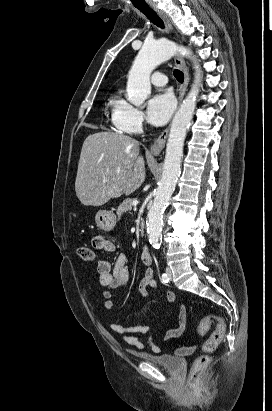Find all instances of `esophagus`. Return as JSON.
I'll return each instance as SVG.
<instances>
[{
  "mask_svg": "<svg viewBox=\"0 0 272 411\" xmlns=\"http://www.w3.org/2000/svg\"><path fill=\"white\" fill-rule=\"evenodd\" d=\"M152 9L161 17V19L164 21V23L167 26V28L169 29V31L173 33V27H172L171 22L168 19L167 15L155 5L152 6ZM175 64L182 70V72L184 74V82L182 83V85L180 87V91H179V105H180V103L182 102L183 97L186 93L188 84H189V72H188V68L185 64V61L181 56L175 57ZM169 130H170V126H168L160 134V136L158 137L156 142L150 148V153L151 154L159 155L161 153L162 149L165 146Z\"/></svg>",
  "mask_w": 272,
  "mask_h": 411,
  "instance_id": "1",
  "label": "esophagus"
}]
</instances>
